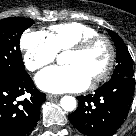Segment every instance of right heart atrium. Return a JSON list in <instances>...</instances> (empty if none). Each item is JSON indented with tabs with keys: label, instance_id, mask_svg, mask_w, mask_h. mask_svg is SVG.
<instances>
[{
	"label": "right heart atrium",
	"instance_id": "obj_1",
	"mask_svg": "<svg viewBox=\"0 0 136 136\" xmlns=\"http://www.w3.org/2000/svg\"><path fill=\"white\" fill-rule=\"evenodd\" d=\"M23 62L29 71L39 70L57 56V50L48 36L42 31L27 30L20 40Z\"/></svg>",
	"mask_w": 136,
	"mask_h": 136
}]
</instances>
